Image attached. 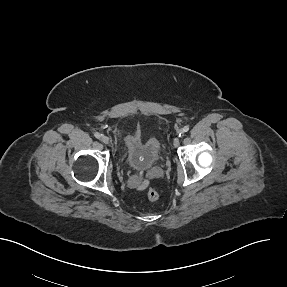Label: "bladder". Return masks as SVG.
I'll return each mask as SVG.
<instances>
[{
    "instance_id": "1",
    "label": "bladder",
    "mask_w": 287,
    "mask_h": 287,
    "mask_svg": "<svg viewBox=\"0 0 287 287\" xmlns=\"http://www.w3.org/2000/svg\"><path fill=\"white\" fill-rule=\"evenodd\" d=\"M160 156V140L155 136H144L140 130L129 132L122 141L121 158L134 170L152 168Z\"/></svg>"
}]
</instances>
